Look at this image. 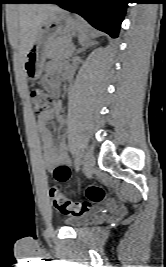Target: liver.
<instances>
[{"instance_id":"obj_1","label":"liver","mask_w":166,"mask_h":267,"mask_svg":"<svg viewBox=\"0 0 166 267\" xmlns=\"http://www.w3.org/2000/svg\"><path fill=\"white\" fill-rule=\"evenodd\" d=\"M59 11H61L59 7L49 4H22L18 6L16 40L21 57L25 58L32 47L42 22Z\"/></svg>"}]
</instances>
